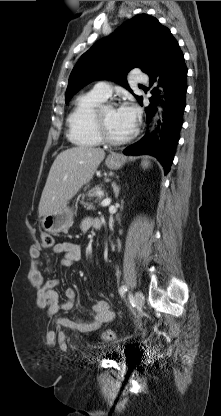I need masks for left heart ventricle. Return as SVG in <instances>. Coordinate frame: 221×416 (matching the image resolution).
Returning <instances> with one entry per match:
<instances>
[{"label": "left heart ventricle", "mask_w": 221, "mask_h": 416, "mask_svg": "<svg viewBox=\"0 0 221 416\" xmlns=\"http://www.w3.org/2000/svg\"><path fill=\"white\" fill-rule=\"evenodd\" d=\"M103 119L109 134L113 138L124 139L131 134L120 118L117 109L112 107L105 108L103 110Z\"/></svg>", "instance_id": "left-heart-ventricle-1"}]
</instances>
